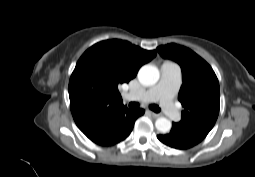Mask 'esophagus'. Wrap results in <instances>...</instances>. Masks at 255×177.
Wrapping results in <instances>:
<instances>
[{"mask_svg":"<svg viewBox=\"0 0 255 177\" xmlns=\"http://www.w3.org/2000/svg\"><path fill=\"white\" fill-rule=\"evenodd\" d=\"M148 113H150V115H151L152 117H154V118H158V117L160 116V114L155 113V112H153V111H151V110H148Z\"/></svg>","mask_w":255,"mask_h":177,"instance_id":"1","label":"esophagus"}]
</instances>
